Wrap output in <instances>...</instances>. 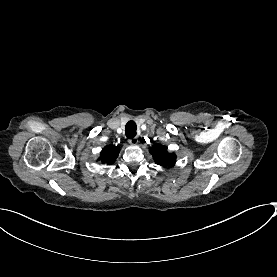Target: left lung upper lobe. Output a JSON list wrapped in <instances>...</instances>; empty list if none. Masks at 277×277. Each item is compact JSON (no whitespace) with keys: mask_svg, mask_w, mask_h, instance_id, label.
<instances>
[{"mask_svg":"<svg viewBox=\"0 0 277 277\" xmlns=\"http://www.w3.org/2000/svg\"><path fill=\"white\" fill-rule=\"evenodd\" d=\"M150 153L156 164L160 166L172 167L176 163V155L174 153H168L167 147L153 144L150 147Z\"/></svg>","mask_w":277,"mask_h":277,"instance_id":"1","label":"left lung upper lobe"}]
</instances>
